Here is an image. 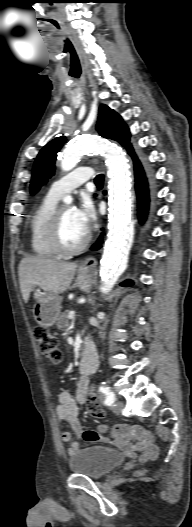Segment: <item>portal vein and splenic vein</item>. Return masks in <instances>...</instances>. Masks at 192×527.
<instances>
[{
    "label": "portal vein and splenic vein",
    "mask_w": 192,
    "mask_h": 527,
    "mask_svg": "<svg viewBox=\"0 0 192 527\" xmlns=\"http://www.w3.org/2000/svg\"><path fill=\"white\" fill-rule=\"evenodd\" d=\"M75 317V312L74 311H70L69 314H68V319H74Z\"/></svg>",
    "instance_id": "1"
}]
</instances>
